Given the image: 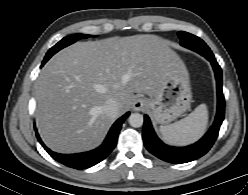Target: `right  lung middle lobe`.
Returning <instances> with one entry per match:
<instances>
[{"label":"right lung middle lobe","mask_w":248,"mask_h":195,"mask_svg":"<svg viewBox=\"0 0 248 195\" xmlns=\"http://www.w3.org/2000/svg\"><path fill=\"white\" fill-rule=\"evenodd\" d=\"M91 35H85V34H74V35H70L67 37H64L61 41H59L55 46H53L46 54L44 61L43 62H47L55 53H57L59 50H61L62 48L73 44L74 42L80 40V39H84V38H88Z\"/></svg>","instance_id":"obj_1"}]
</instances>
